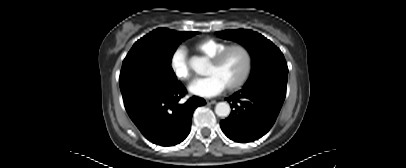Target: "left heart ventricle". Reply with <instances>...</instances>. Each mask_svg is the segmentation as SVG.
Wrapping results in <instances>:
<instances>
[{
  "label": "left heart ventricle",
  "mask_w": 406,
  "mask_h": 168,
  "mask_svg": "<svg viewBox=\"0 0 406 168\" xmlns=\"http://www.w3.org/2000/svg\"><path fill=\"white\" fill-rule=\"evenodd\" d=\"M244 68V53L240 49H233L218 66H213L209 63L205 74L215 75L225 87H228L238 81Z\"/></svg>",
  "instance_id": "obj_1"
}]
</instances>
